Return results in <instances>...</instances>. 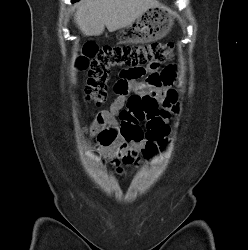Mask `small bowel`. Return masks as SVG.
Wrapping results in <instances>:
<instances>
[{
  "label": "small bowel",
  "instance_id": "1",
  "mask_svg": "<svg viewBox=\"0 0 248 250\" xmlns=\"http://www.w3.org/2000/svg\"><path fill=\"white\" fill-rule=\"evenodd\" d=\"M167 70L173 75L170 68ZM157 72H160L158 68L148 66L140 75L144 74L149 78ZM114 91L117 97L111 103L109 110L97 113L88 127V133L97 139L101 155L121 171L122 166L137 165L143 159L151 158L155 154L156 138L168 133L166 122L173 102L165 100L166 88H156L149 82L145 84L127 74L115 82ZM132 93L153 95L162 102V106L144 120H138L129 108L124 109ZM139 121L146 122L145 131L138 125Z\"/></svg>",
  "mask_w": 248,
  "mask_h": 250
}]
</instances>
